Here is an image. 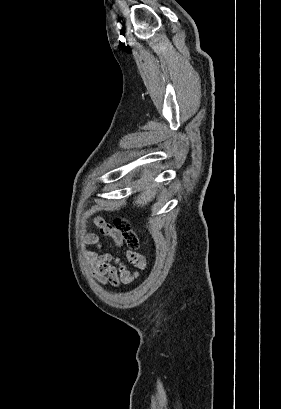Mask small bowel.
<instances>
[{
	"label": "small bowel",
	"instance_id": "1",
	"mask_svg": "<svg viewBox=\"0 0 281 409\" xmlns=\"http://www.w3.org/2000/svg\"><path fill=\"white\" fill-rule=\"evenodd\" d=\"M94 224L95 226L86 225L88 234L84 237L85 244L101 248L102 245L97 235H105L114 240L115 246L121 245L120 232L117 229H114L103 219H96ZM124 248L127 250L129 247L126 245ZM85 257L88 261L94 263L95 276L103 284L116 287L132 280H139L138 273H131L119 258L110 253L99 254L96 251H86ZM127 258L130 267H136L140 273L143 271L145 260L137 251H132L131 254L127 251Z\"/></svg>",
	"mask_w": 281,
	"mask_h": 409
}]
</instances>
